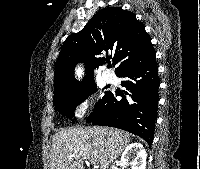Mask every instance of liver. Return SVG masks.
<instances>
[{"label":"liver","mask_w":200,"mask_h":169,"mask_svg":"<svg viewBox=\"0 0 200 169\" xmlns=\"http://www.w3.org/2000/svg\"><path fill=\"white\" fill-rule=\"evenodd\" d=\"M130 140L129 133L108 127L62 129L52 139L50 169H84L85 159L108 169Z\"/></svg>","instance_id":"1"}]
</instances>
